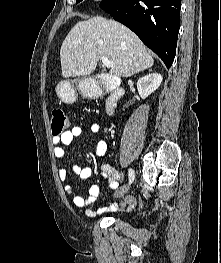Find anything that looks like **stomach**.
I'll use <instances>...</instances> for the list:
<instances>
[{
    "label": "stomach",
    "mask_w": 221,
    "mask_h": 263,
    "mask_svg": "<svg viewBox=\"0 0 221 263\" xmlns=\"http://www.w3.org/2000/svg\"><path fill=\"white\" fill-rule=\"evenodd\" d=\"M86 81L77 80L75 85L70 80L58 83L55 90L58 97L65 103H73L77 97V91L85 92Z\"/></svg>",
    "instance_id": "obj_1"
}]
</instances>
